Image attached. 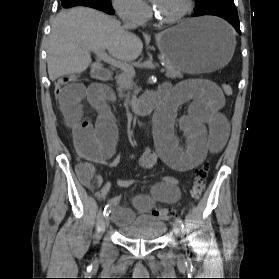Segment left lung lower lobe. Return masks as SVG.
Wrapping results in <instances>:
<instances>
[{
	"label": "left lung lower lobe",
	"instance_id": "left-lung-lower-lobe-1",
	"mask_svg": "<svg viewBox=\"0 0 279 279\" xmlns=\"http://www.w3.org/2000/svg\"><path fill=\"white\" fill-rule=\"evenodd\" d=\"M215 15L227 20L241 34L238 13L233 0H208L198 6L193 16Z\"/></svg>",
	"mask_w": 279,
	"mask_h": 279
}]
</instances>
